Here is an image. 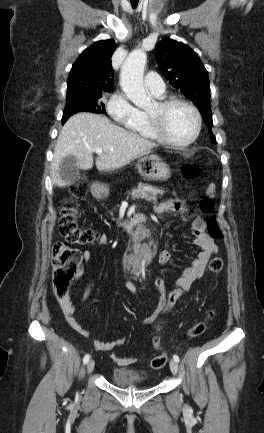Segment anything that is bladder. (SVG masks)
<instances>
[{
	"instance_id": "1",
	"label": "bladder",
	"mask_w": 264,
	"mask_h": 433,
	"mask_svg": "<svg viewBox=\"0 0 264 433\" xmlns=\"http://www.w3.org/2000/svg\"><path fill=\"white\" fill-rule=\"evenodd\" d=\"M113 384L123 387H146V379L139 372L126 369L115 368L110 373Z\"/></svg>"
}]
</instances>
